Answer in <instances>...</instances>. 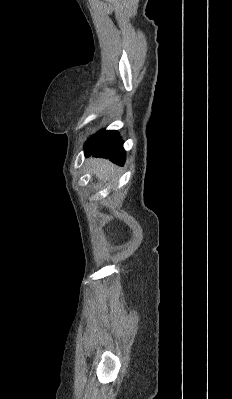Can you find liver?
Masks as SVG:
<instances>
[{"label":"liver","instance_id":"obj_1","mask_svg":"<svg viewBox=\"0 0 232 399\" xmlns=\"http://www.w3.org/2000/svg\"><path fill=\"white\" fill-rule=\"evenodd\" d=\"M90 162L94 166L93 172H95V176L99 180H108L109 176L114 172V168H116L108 160H90Z\"/></svg>","mask_w":232,"mask_h":399}]
</instances>
